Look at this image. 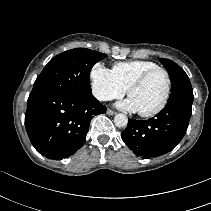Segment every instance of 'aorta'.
I'll return each instance as SVG.
<instances>
[{
    "mask_svg": "<svg viewBox=\"0 0 211 211\" xmlns=\"http://www.w3.org/2000/svg\"><path fill=\"white\" fill-rule=\"evenodd\" d=\"M114 123L117 127H126L128 124V118L124 114H117L115 115Z\"/></svg>",
    "mask_w": 211,
    "mask_h": 211,
    "instance_id": "1",
    "label": "aorta"
}]
</instances>
